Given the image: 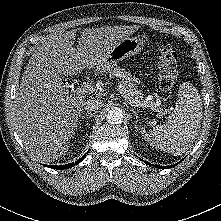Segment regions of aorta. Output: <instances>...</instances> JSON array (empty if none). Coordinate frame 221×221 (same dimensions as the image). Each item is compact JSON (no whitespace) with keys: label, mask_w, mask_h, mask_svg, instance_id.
Instances as JSON below:
<instances>
[{"label":"aorta","mask_w":221,"mask_h":221,"mask_svg":"<svg viewBox=\"0 0 221 221\" xmlns=\"http://www.w3.org/2000/svg\"><path fill=\"white\" fill-rule=\"evenodd\" d=\"M107 121L110 124H121L122 120H123V113L120 109L115 108V109H111L108 113H107Z\"/></svg>","instance_id":"762f6f07"}]
</instances>
